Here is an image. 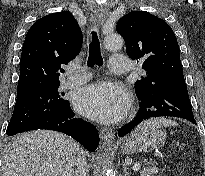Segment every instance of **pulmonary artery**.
Wrapping results in <instances>:
<instances>
[{
    "mask_svg": "<svg viewBox=\"0 0 205 176\" xmlns=\"http://www.w3.org/2000/svg\"><path fill=\"white\" fill-rule=\"evenodd\" d=\"M110 63V69L116 74H125L129 70V59L125 55L111 56ZM73 71L76 72L77 68H73ZM89 79V72H85L83 74H75L66 80L65 85L66 87H76L86 83Z\"/></svg>",
    "mask_w": 205,
    "mask_h": 176,
    "instance_id": "pulmonary-artery-1",
    "label": "pulmonary artery"
}]
</instances>
